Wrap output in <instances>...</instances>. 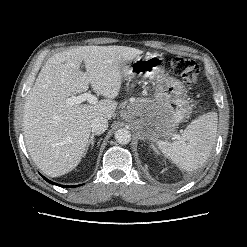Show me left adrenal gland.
Returning <instances> with one entry per match:
<instances>
[{
	"label": "left adrenal gland",
	"instance_id": "a2214340",
	"mask_svg": "<svg viewBox=\"0 0 247 247\" xmlns=\"http://www.w3.org/2000/svg\"><path fill=\"white\" fill-rule=\"evenodd\" d=\"M151 146H152V148L157 152V150H156V148H155V146L153 145V144H151Z\"/></svg>",
	"mask_w": 247,
	"mask_h": 247
}]
</instances>
